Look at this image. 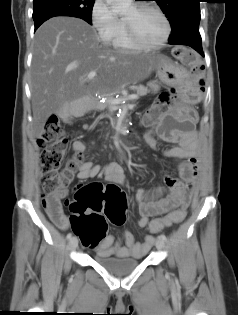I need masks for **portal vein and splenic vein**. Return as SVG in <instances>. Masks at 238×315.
<instances>
[{
    "mask_svg": "<svg viewBox=\"0 0 238 315\" xmlns=\"http://www.w3.org/2000/svg\"><path fill=\"white\" fill-rule=\"evenodd\" d=\"M96 76V72L95 71H92L88 74L87 76V80H91L93 79L94 77ZM127 99L129 100H136L138 99V95L137 94H132V95H129L127 97ZM119 103V100L118 99H111L110 100V104H118Z\"/></svg>",
    "mask_w": 238,
    "mask_h": 315,
    "instance_id": "18ae733b",
    "label": "portal vein and splenic vein"
}]
</instances>
